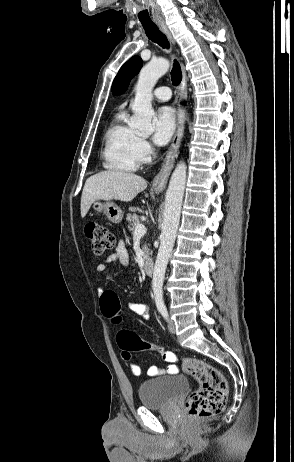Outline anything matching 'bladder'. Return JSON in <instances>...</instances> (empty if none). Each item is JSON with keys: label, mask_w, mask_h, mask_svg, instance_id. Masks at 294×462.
I'll return each instance as SVG.
<instances>
[{"label": "bladder", "mask_w": 294, "mask_h": 462, "mask_svg": "<svg viewBox=\"0 0 294 462\" xmlns=\"http://www.w3.org/2000/svg\"><path fill=\"white\" fill-rule=\"evenodd\" d=\"M188 387V381L182 375L155 378L139 384L138 397L142 406L161 409L177 401Z\"/></svg>", "instance_id": "1"}]
</instances>
